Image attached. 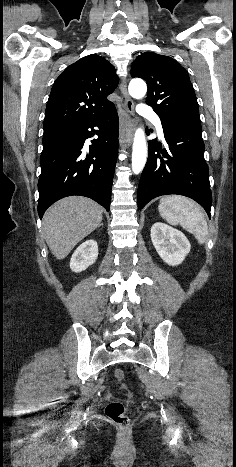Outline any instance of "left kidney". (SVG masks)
<instances>
[{"label": "left kidney", "mask_w": 236, "mask_h": 467, "mask_svg": "<svg viewBox=\"0 0 236 467\" xmlns=\"http://www.w3.org/2000/svg\"><path fill=\"white\" fill-rule=\"evenodd\" d=\"M151 240L159 256L170 266L181 264L190 252L191 246L186 236L162 222L152 225Z\"/></svg>", "instance_id": "left-kidney-1"}]
</instances>
